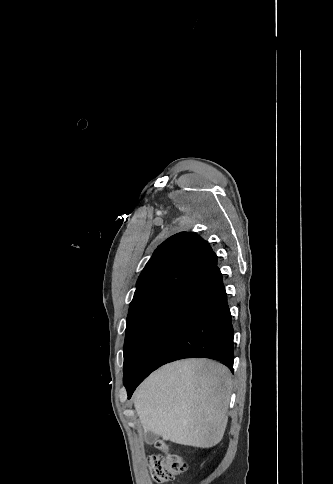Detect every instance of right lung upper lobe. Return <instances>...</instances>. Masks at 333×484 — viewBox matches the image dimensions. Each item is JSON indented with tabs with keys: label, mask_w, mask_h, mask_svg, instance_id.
Listing matches in <instances>:
<instances>
[{
	"label": "right lung upper lobe",
	"mask_w": 333,
	"mask_h": 484,
	"mask_svg": "<svg viewBox=\"0 0 333 484\" xmlns=\"http://www.w3.org/2000/svg\"><path fill=\"white\" fill-rule=\"evenodd\" d=\"M217 263L207 241L196 233L181 232L164 241L141 272L129 311L183 287Z\"/></svg>",
	"instance_id": "right-lung-upper-lobe-1"
}]
</instances>
